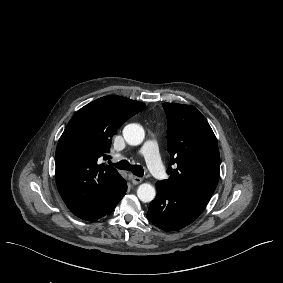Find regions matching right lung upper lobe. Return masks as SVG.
I'll return each mask as SVG.
<instances>
[{"instance_id":"right-lung-upper-lobe-1","label":"right lung upper lobe","mask_w":283,"mask_h":283,"mask_svg":"<svg viewBox=\"0 0 283 283\" xmlns=\"http://www.w3.org/2000/svg\"><path fill=\"white\" fill-rule=\"evenodd\" d=\"M145 104L120 96L99 98L78 110L66 126L56 149L59 193L75 214L92 212L117 196L125 183L107 159L113 135Z\"/></svg>"}]
</instances>
